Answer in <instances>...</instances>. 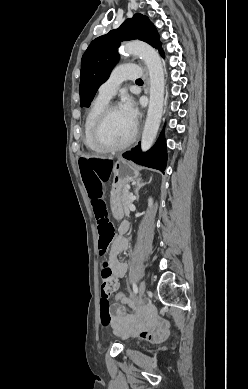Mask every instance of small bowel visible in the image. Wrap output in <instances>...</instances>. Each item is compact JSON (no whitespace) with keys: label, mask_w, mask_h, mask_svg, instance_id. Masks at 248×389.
Masks as SVG:
<instances>
[{"label":"small bowel","mask_w":248,"mask_h":389,"mask_svg":"<svg viewBox=\"0 0 248 389\" xmlns=\"http://www.w3.org/2000/svg\"><path fill=\"white\" fill-rule=\"evenodd\" d=\"M128 230L126 222L119 226V235L112 242L109 252V262L113 274L116 278H124L128 265L118 259L119 254L125 252L129 243L123 234ZM125 305L130 306L138 315L134 319L127 314ZM113 329L121 336H138L148 341H158L164 338L168 331V326L165 322L157 319L153 313L145 307L138 305L135 301L128 299L120 301L118 304L111 305Z\"/></svg>","instance_id":"c3829d8e"}]
</instances>
